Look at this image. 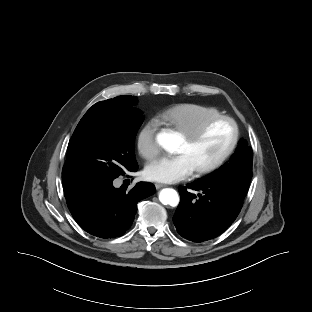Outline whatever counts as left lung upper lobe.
<instances>
[{
    "label": "left lung upper lobe",
    "instance_id": "left-lung-upper-lobe-1",
    "mask_svg": "<svg viewBox=\"0 0 312 312\" xmlns=\"http://www.w3.org/2000/svg\"><path fill=\"white\" fill-rule=\"evenodd\" d=\"M253 152L247 141L241 140L229 163L202 178L229 184L235 191L246 196L252 176Z\"/></svg>",
    "mask_w": 312,
    "mask_h": 312
}]
</instances>
